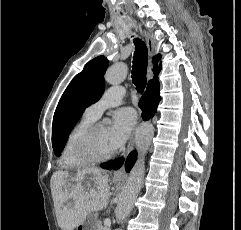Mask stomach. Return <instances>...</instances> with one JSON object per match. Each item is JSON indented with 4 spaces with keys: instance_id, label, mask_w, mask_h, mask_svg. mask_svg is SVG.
<instances>
[{
    "instance_id": "stomach-1",
    "label": "stomach",
    "mask_w": 241,
    "mask_h": 230,
    "mask_svg": "<svg viewBox=\"0 0 241 230\" xmlns=\"http://www.w3.org/2000/svg\"><path fill=\"white\" fill-rule=\"evenodd\" d=\"M94 176L92 175H86L85 176V180H84V184H86L87 182H94ZM97 224L98 221L96 219L95 216L93 215H88L84 221L76 227V230H96L97 229Z\"/></svg>"
}]
</instances>
